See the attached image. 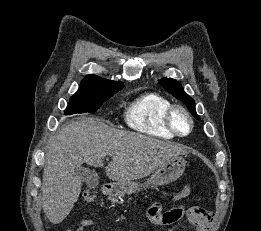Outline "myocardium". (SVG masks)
Wrapping results in <instances>:
<instances>
[{"label": "myocardium", "mask_w": 261, "mask_h": 231, "mask_svg": "<svg viewBox=\"0 0 261 231\" xmlns=\"http://www.w3.org/2000/svg\"><path fill=\"white\" fill-rule=\"evenodd\" d=\"M177 113L184 114L189 121L190 128L186 133L179 132L178 129L176 128V126H175L174 117ZM165 124H166L167 129L177 137L188 136L194 128V121H193L192 115L190 114V112L185 107H183L181 105H172L168 109V111L165 115Z\"/></svg>", "instance_id": "myocardium-1"}]
</instances>
